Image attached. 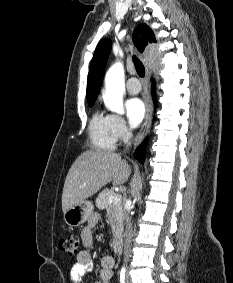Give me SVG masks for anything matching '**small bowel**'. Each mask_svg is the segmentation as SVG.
I'll return each instance as SVG.
<instances>
[{"instance_id": "obj_1", "label": "small bowel", "mask_w": 233, "mask_h": 283, "mask_svg": "<svg viewBox=\"0 0 233 283\" xmlns=\"http://www.w3.org/2000/svg\"><path fill=\"white\" fill-rule=\"evenodd\" d=\"M98 221V216L93 215L88 222V225L81 232V239L84 249L81 250L77 257L76 263L70 270V278L73 283H83V278L87 272H90L93 268V262L91 255L87 250L93 245V233L92 229ZM115 261L110 255H107L101 260L100 279L95 283H110L113 275V267Z\"/></svg>"}]
</instances>
